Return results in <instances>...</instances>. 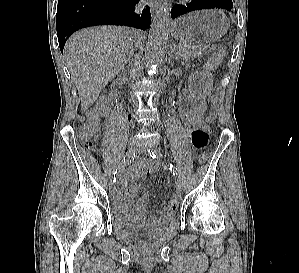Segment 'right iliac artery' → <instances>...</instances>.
I'll list each match as a JSON object with an SVG mask.
<instances>
[{"label":"right iliac artery","mask_w":299,"mask_h":273,"mask_svg":"<svg viewBox=\"0 0 299 273\" xmlns=\"http://www.w3.org/2000/svg\"><path fill=\"white\" fill-rule=\"evenodd\" d=\"M134 158H135V153L127 154L124 157L123 161L121 162V164L118 166V169H116V171L114 173L113 182H115L117 180L119 173L125 168L126 165L131 163V161L134 160Z\"/></svg>","instance_id":"1"}]
</instances>
